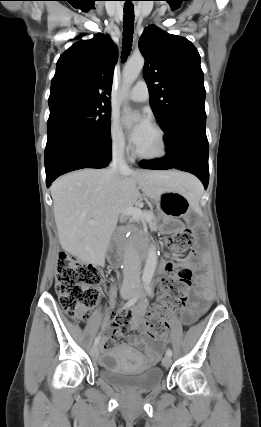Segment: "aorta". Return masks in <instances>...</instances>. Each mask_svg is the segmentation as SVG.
<instances>
[{
    "label": "aorta",
    "mask_w": 261,
    "mask_h": 427,
    "mask_svg": "<svg viewBox=\"0 0 261 427\" xmlns=\"http://www.w3.org/2000/svg\"><path fill=\"white\" fill-rule=\"evenodd\" d=\"M144 57L142 55H133L126 63L122 73V91L127 93L137 79L138 75L144 67ZM124 111L129 112V108L125 107ZM157 266L156 247L151 245L148 249L146 264L143 270L142 280L150 282L153 278Z\"/></svg>",
    "instance_id": "762f6f07"
}]
</instances>
